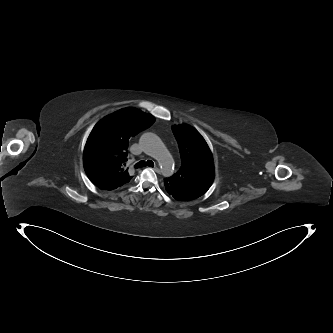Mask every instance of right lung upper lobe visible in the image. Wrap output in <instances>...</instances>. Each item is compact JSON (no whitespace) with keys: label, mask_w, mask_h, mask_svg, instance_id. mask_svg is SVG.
Returning a JSON list of instances; mask_svg holds the SVG:
<instances>
[{"label":"right lung upper lobe","mask_w":333,"mask_h":333,"mask_svg":"<svg viewBox=\"0 0 333 333\" xmlns=\"http://www.w3.org/2000/svg\"><path fill=\"white\" fill-rule=\"evenodd\" d=\"M154 122L152 115L129 107L106 116L96 124L84 149V168L85 171L86 167L89 168V179L94 178L96 181L93 183L97 187L108 191L128 183L132 178L128 168L124 167L128 141Z\"/></svg>","instance_id":"cb5924a9"}]
</instances>
